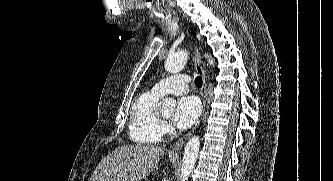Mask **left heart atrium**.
<instances>
[{
  "label": "left heart atrium",
  "instance_id": "1",
  "mask_svg": "<svg viewBox=\"0 0 333 181\" xmlns=\"http://www.w3.org/2000/svg\"><path fill=\"white\" fill-rule=\"evenodd\" d=\"M200 112L201 107L197 98L181 97L176 103L172 122L178 129L185 130L197 121Z\"/></svg>",
  "mask_w": 333,
  "mask_h": 181
}]
</instances>
